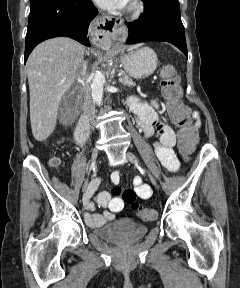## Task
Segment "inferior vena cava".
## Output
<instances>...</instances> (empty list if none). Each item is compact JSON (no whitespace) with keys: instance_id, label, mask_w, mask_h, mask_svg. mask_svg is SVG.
Listing matches in <instances>:
<instances>
[{"instance_id":"obj_1","label":"inferior vena cava","mask_w":240,"mask_h":288,"mask_svg":"<svg viewBox=\"0 0 240 288\" xmlns=\"http://www.w3.org/2000/svg\"><path fill=\"white\" fill-rule=\"evenodd\" d=\"M78 82L82 85L84 96H83V111L84 116L82 118V122L88 124L91 119L95 117V105L91 95V87L89 77L86 71L82 68L78 74Z\"/></svg>"}]
</instances>
